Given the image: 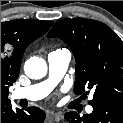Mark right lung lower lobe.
<instances>
[{
  "label": "right lung lower lobe",
  "mask_w": 123,
  "mask_h": 123,
  "mask_svg": "<svg viewBox=\"0 0 123 123\" xmlns=\"http://www.w3.org/2000/svg\"><path fill=\"white\" fill-rule=\"evenodd\" d=\"M45 116V112L37 107L13 110L9 99L1 100V123H43Z\"/></svg>",
  "instance_id": "1"
}]
</instances>
